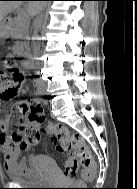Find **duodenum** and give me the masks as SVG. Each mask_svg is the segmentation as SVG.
<instances>
[{"mask_svg":"<svg viewBox=\"0 0 137 189\" xmlns=\"http://www.w3.org/2000/svg\"><path fill=\"white\" fill-rule=\"evenodd\" d=\"M11 23H12V21H11V20H7V21H6V27H7V29H9V28H10Z\"/></svg>","mask_w":137,"mask_h":189,"instance_id":"obj_1","label":"duodenum"}]
</instances>
